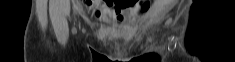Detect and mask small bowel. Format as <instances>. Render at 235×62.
Segmentation results:
<instances>
[{"instance_id":"c3829d8e","label":"small bowel","mask_w":235,"mask_h":62,"mask_svg":"<svg viewBox=\"0 0 235 62\" xmlns=\"http://www.w3.org/2000/svg\"><path fill=\"white\" fill-rule=\"evenodd\" d=\"M105 5L110 8L114 6V10L118 14L121 9L128 7L130 3L127 1H107L104 4H102V6ZM118 18H120V16Z\"/></svg>"}]
</instances>
